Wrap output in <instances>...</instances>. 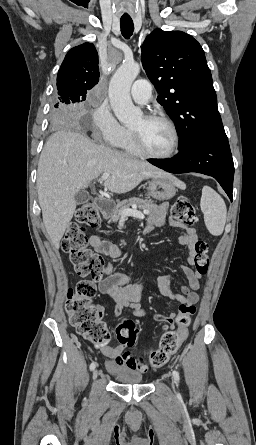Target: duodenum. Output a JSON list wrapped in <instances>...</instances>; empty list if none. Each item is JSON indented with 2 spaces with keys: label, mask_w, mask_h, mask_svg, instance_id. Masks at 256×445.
<instances>
[{
  "label": "duodenum",
  "mask_w": 256,
  "mask_h": 445,
  "mask_svg": "<svg viewBox=\"0 0 256 445\" xmlns=\"http://www.w3.org/2000/svg\"><path fill=\"white\" fill-rule=\"evenodd\" d=\"M96 201L98 212L102 217L107 216L111 213L113 209V203L110 200L99 197L96 199Z\"/></svg>",
  "instance_id": "410a0bca"
}]
</instances>
